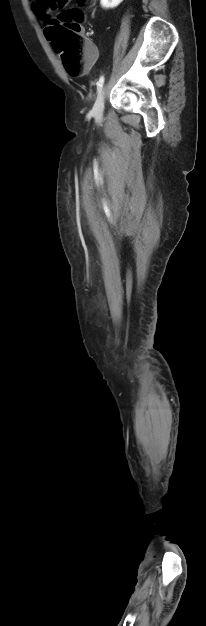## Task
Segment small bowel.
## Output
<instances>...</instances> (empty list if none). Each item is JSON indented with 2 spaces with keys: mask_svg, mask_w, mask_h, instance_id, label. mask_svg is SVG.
Listing matches in <instances>:
<instances>
[{
  "mask_svg": "<svg viewBox=\"0 0 206 626\" xmlns=\"http://www.w3.org/2000/svg\"><path fill=\"white\" fill-rule=\"evenodd\" d=\"M38 8H39L40 14L43 15L44 20H45V28H44L45 37L52 44L50 33L53 27V23L51 22V19L49 18V16L46 15V10L44 9L42 5V0H38ZM87 47L89 50V55L87 57L84 69L85 71L88 72L91 69V67L94 65V63L96 62L98 58V52L96 50V47L90 41H87Z\"/></svg>",
  "mask_w": 206,
  "mask_h": 626,
  "instance_id": "obj_1",
  "label": "small bowel"
}]
</instances>
